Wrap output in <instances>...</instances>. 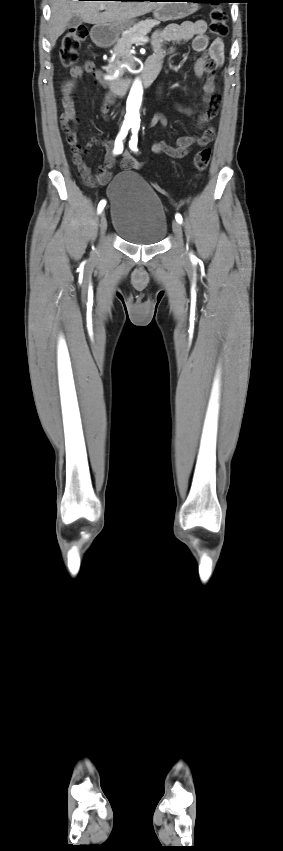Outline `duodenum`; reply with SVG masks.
<instances>
[{
    "mask_svg": "<svg viewBox=\"0 0 283 851\" xmlns=\"http://www.w3.org/2000/svg\"><path fill=\"white\" fill-rule=\"evenodd\" d=\"M95 40L99 45L106 46L109 43V38L107 34L103 30H98L95 33ZM162 62L156 58H150L145 66V69L142 74V82L145 86L150 85L157 77ZM111 87L110 89L114 90L112 95L114 96H123L127 92L131 80L124 78H116L110 81Z\"/></svg>",
    "mask_w": 283,
    "mask_h": 851,
    "instance_id": "1",
    "label": "duodenum"
}]
</instances>
